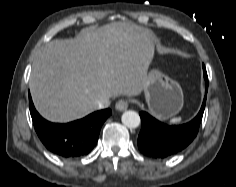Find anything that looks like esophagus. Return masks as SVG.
<instances>
[{
    "instance_id": "obj_1",
    "label": "esophagus",
    "mask_w": 236,
    "mask_h": 187,
    "mask_svg": "<svg viewBox=\"0 0 236 187\" xmlns=\"http://www.w3.org/2000/svg\"><path fill=\"white\" fill-rule=\"evenodd\" d=\"M115 108L118 111H124L128 108V102L126 100L121 99L115 104Z\"/></svg>"
}]
</instances>
